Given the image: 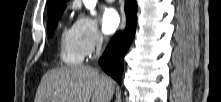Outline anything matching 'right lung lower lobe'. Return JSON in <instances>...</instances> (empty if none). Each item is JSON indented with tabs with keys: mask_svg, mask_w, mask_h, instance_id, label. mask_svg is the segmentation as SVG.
<instances>
[{
	"mask_svg": "<svg viewBox=\"0 0 221 102\" xmlns=\"http://www.w3.org/2000/svg\"><path fill=\"white\" fill-rule=\"evenodd\" d=\"M125 12L127 16V27L124 32H117L100 59L103 70L112 76L119 84L123 72V58L130 47L136 30V0H125Z\"/></svg>",
	"mask_w": 221,
	"mask_h": 102,
	"instance_id": "obj_1",
	"label": "right lung lower lobe"
}]
</instances>
